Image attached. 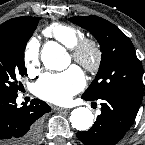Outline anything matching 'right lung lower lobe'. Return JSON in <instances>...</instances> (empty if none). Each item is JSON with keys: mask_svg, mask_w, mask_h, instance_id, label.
<instances>
[{"mask_svg": "<svg viewBox=\"0 0 145 145\" xmlns=\"http://www.w3.org/2000/svg\"><path fill=\"white\" fill-rule=\"evenodd\" d=\"M17 96V93L0 90V145H37L39 118L51 107L39 99L18 107Z\"/></svg>", "mask_w": 145, "mask_h": 145, "instance_id": "98d812e1", "label": "right lung lower lobe"}]
</instances>
